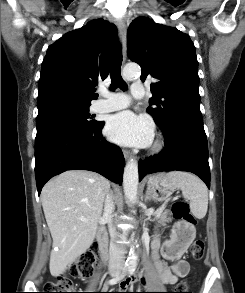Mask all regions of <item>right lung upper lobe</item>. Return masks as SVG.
I'll return each mask as SVG.
<instances>
[{"mask_svg": "<svg viewBox=\"0 0 245 293\" xmlns=\"http://www.w3.org/2000/svg\"><path fill=\"white\" fill-rule=\"evenodd\" d=\"M117 43L114 24L98 19L69 32L48 47L42 62L37 107L90 105L94 87L110 70Z\"/></svg>", "mask_w": 245, "mask_h": 293, "instance_id": "right-lung-upper-lobe-1", "label": "right lung upper lobe"}]
</instances>
